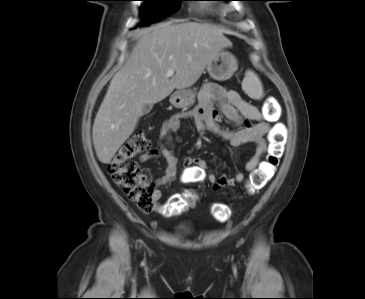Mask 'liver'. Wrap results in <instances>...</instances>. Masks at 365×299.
Masks as SVG:
<instances>
[{
    "instance_id": "obj_1",
    "label": "liver",
    "mask_w": 365,
    "mask_h": 299,
    "mask_svg": "<svg viewBox=\"0 0 365 299\" xmlns=\"http://www.w3.org/2000/svg\"><path fill=\"white\" fill-rule=\"evenodd\" d=\"M231 46L223 32L209 24L174 21L143 30L95 117L97 158L110 163L134 132L144 105L162 101L174 89L191 87L215 55ZM170 69L175 74L167 77Z\"/></svg>"
}]
</instances>
